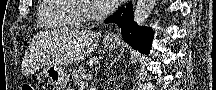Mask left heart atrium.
Listing matches in <instances>:
<instances>
[{
  "label": "left heart atrium",
  "mask_w": 216,
  "mask_h": 90,
  "mask_svg": "<svg viewBox=\"0 0 216 90\" xmlns=\"http://www.w3.org/2000/svg\"><path fill=\"white\" fill-rule=\"evenodd\" d=\"M101 10H116V7L120 6V3H123V0H97Z\"/></svg>",
  "instance_id": "left-heart-atrium-1"
}]
</instances>
